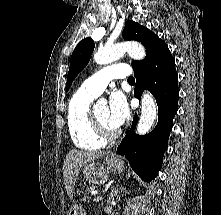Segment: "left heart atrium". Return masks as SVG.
<instances>
[{
    "label": "left heart atrium",
    "mask_w": 221,
    "mask_h": 215,
    "mask_svg": "<svg viewBox=\"0 0 221 215\" xmlns=\"http://www.w3.org/2000/svg\"><path fill=\"white\" fill-rule=\"evenodd\" d=\"M129 117V107L125 95L121 91L111 94L108 104V119L114 128L121 127Z\"/></svg>",
    "instance_id": "1"
}]
</instances>
